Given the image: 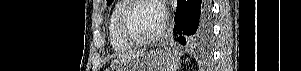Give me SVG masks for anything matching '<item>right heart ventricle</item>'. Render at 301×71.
Returning <instances> with one entry per match:
<instances>
[{"label": "right heart ventricle", "mask_w": 301, "mask_h": 71, "mask_svg": "<svg viewBox=\"0 0 301 71\" xmlns=\"http://www.w3.org/2000/svg\"><path fill=\"white\" fill-rule=\"evenodd\" d=\"M128 1H119L113 8L108 22V36L112 48L116 52H125L130 50L133 45L125 41L119 32V18L123 8Z\"/></svg>", "instance_id": "right-heart-ventricle-1"}]
</instances>
